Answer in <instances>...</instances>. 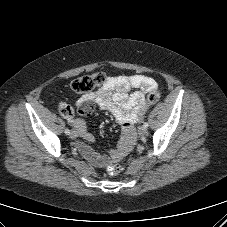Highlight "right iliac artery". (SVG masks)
<instances>
[{
  "label": "right iliac artery",
  "instance_id": "1",
  "mask_svg": "<svg viewBox=\"0 0 227 227\" xmlns=\"http://www.w3.org/2000/svg\"><path fill=\"white\" fill-rule=\"evenodd\" d=\"M65 134L69 135L70 134V130L69 129H65Z\"/></svg>",
  "mask_w": 227,
  "mask_h": 227
}]
</instances>
